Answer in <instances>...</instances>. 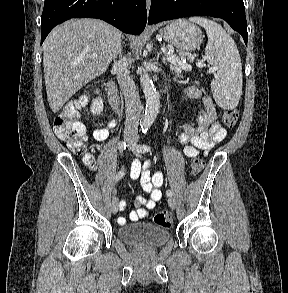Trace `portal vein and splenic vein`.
Masks as SVG:
<instances>
[{"mask_svg": "<svg viewBox=\"0 0 288 293\" xmlns=\"http://www.w3.org/2000/svg\"><path fill=\"white\" fill-rule=\"evenodd\" d=\"M93 58H96L97 55L96 54H93L92 55ZM167 60L172 63V64H175L177 65L178 67H181L183 68L185 71H191L192 70V67L191 65H189L187 62H186V59H180L174 55H168L167 57ZM198 67H203V64L202 63H198L197 64ZM212 71H214V69H212Z\"/></svg>", "mask_w": 288, "mask_h": 293, "instance_id": "obj_1", "label": "portal vein and splenic vein"}]
</instances>
